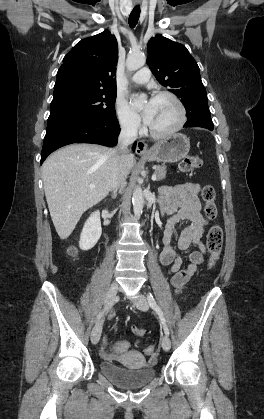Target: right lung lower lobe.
<instances>
[{
	"label": "right lung lower lobe",
	"instance_id": "right-lung-lower-lobe-1",
	"mask_svg": "<svg viewBox=\"0 0 264 419\" xmlns=\"http://www.w3.org/2000/svg\"><path fill=\"white\" fill-rule=\"evenodd\" d=\"M120 127L117 118L73 119L46 131L40 164L56 149L71 143H94L113 147ZM136 143L132 149L135 150Z\"/></svg>",
	"mask_w": 264,
	"mask_h": 419
}]
</instances>
